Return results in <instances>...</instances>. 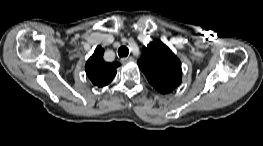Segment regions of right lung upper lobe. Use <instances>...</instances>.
Wrapping results in <instances>:
<instances>
[{"mask_svg": "<svg viewBox=\"0 0 263 146\" xmlns=\"http://www.w3.org/2000/svg\"><path fill=\"white\" fill-rule=\"evenodd\" d=\"M104 50L97 46L93 55L87 60L85 71L91 82L98 87L108 85L116 75L119 62L108 63L103 59Z\"/></svg>", "mask_w": 263, "mask_h": 146, "instance_id": "obj_1", "label": "right lung upper lobe"}]
</instances>
